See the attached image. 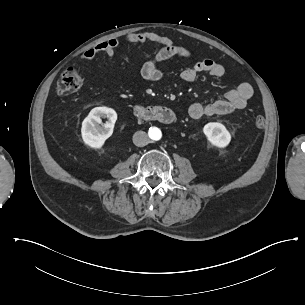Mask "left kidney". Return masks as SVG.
I'll return each mask as SVG.
<instances>
[{"mask_svg":"<svg viewBox=\"0 0 305 305\" xmlns=\"http://www.w3.org/2000/svg\"><path fill=\"white\" fill-rule=\"evenodd\" d=\"M204 134L214 146L224 148L231 140V135L221 123L211 122L204 126Z\"/></svg>","mask_w":305,"mask_h":305,"instance_id":"obj_1","label":"left kidney"}]
</instances>
